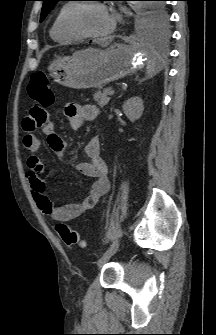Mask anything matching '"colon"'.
I'll return each mask as SVG.
<instances>
[{
  "label": "colon",
  "instance_id": "5ec220e1",
  "mask_svg": "<svg viewBox=\"0 0 216 335\" xmlns=\"http://www.w3.org/2000/svg\"><path fill=\"white\" fill-rule=\"evenodd\" d=\"M27 90L35 104H43V108L51 107L56 100V92L51 87L47 75L42 71L34 72L31 75ZM56 231L67 246L82 249L86 247V243L80 238L79 233L69 225L60 222L56 225Z\"/></svg>",
  "mask_w": 216,
  "mask_h": 335
}]
</instances>
